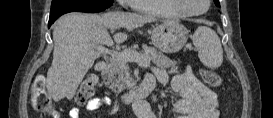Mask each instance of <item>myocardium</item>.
<instances>
[{
	"mask_svg": "<svg viewBox=\"0 0 273 118\" xmlns=\"http://www.w3.org/2000/svg\"><path fill=\"white\" fill-rule=\"evenodd\" d=\"M186 1L187 0H173V3L177 9H179L184 15L187 16H200L206 13L210 7V1L203 0V2L205 3V8L201 11H193L188 8V4Z\"/></svg>",
	"mask_w": 273,
	"mask_h": 118,
	"instance_id": "1",
	"label": "myocardium"
}]
</instances>
